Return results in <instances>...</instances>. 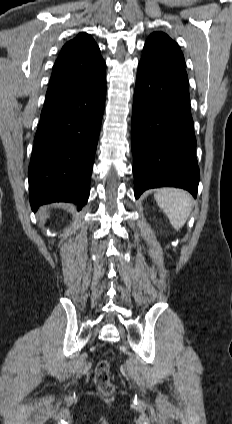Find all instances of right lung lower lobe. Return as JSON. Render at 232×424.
I'll use <instances>...</instances> for the list:
<instances>
[{
    "label": "right lung lower lobe",
    "instance_id": "1",
    "mask_svg": "<svg viewBox=\"0 0 232 424\" xmlns=\"http://www.w3.org/2000/svg\"><path fill=\"white\" fill-rule=\"evenodd\" d=\"M106 98V80L45 98L29 165L33 211L42 204L87 203Z\"/></svg>",
    "mask_w": 232,
    "mask_h": 424
}]
</instances>
